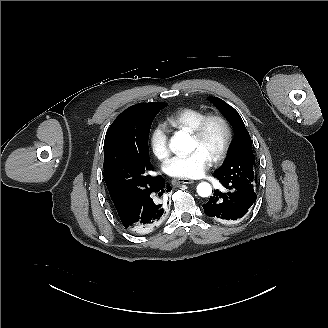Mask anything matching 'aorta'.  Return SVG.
I'll return each mask as SVG.
<instances>
[{
  "label": "aorta",
  "mask_w": 328,
  "mask_h": 328,
  "mask_svg": "<svg viewBox=\"0 0 328 328\" xmlns=\"http://www.w3.org/2000/svg\"><path fill=\"white\" fill-rule=\"evenodd\" d=\"M169 147L175 154L189 153L195 149L191 136L185 132H177L171 138ZM197 193L201 197H209L212 194V187L207 182H201L197 185Z\"/></svg>",
  "instance_id": "aorta-1"
}]
</instances>
